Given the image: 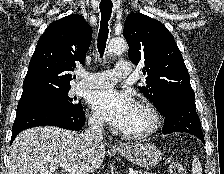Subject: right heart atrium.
<instances>
[{
	"label": "right heart atrium",
	"mask_w": 224,
	"mask_h": 174,
	"mask_svg": "<svg viewBox=\"0 0 224 174\" xmlns=\"http://www.w3.org/2000/svg\"><path fill=\"white\" fill-rule=\"evenodd\" d=\"M89 123L93 128L101 129L103 128V121L96 113H92L89 117Z\"/></svg>",
	"instance_id": "obj_1"
}]
</instances>
